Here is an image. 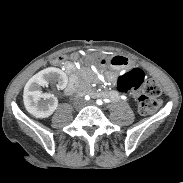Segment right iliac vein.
<instances>
[{
    "instance_id": "63e3f726",
    "label": "right iliac vein",
    "mask_w": 183,
    "mask_h": 183,
    "mask_svg": "<svg viewBox=\"0 0 183 183\" xmlns=\"http://www.w3.org/2000/svg\"><path fill=\"white\" fill-rule=\"evenodd\" d=\"M75 107L76 108H81L82 107V101L81 100H77L75 103H74Z\"/></svg>"
}]
</instances>
